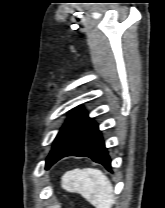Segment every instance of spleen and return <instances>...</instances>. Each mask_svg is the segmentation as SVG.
Returning <instances> with one entry per match:
<instances>
[{
    "instance_id": "spleen-1",
    "label": "spleen",
    "mask_w": 165,
    "mask_h": 208,
    "mask_svg": "<svg viewBox=\"0 0 165 208\" xmlns=\"http://www.w3.org/2000/svg\"><path fill=\"white\" fill-rule=\"evenodd\" d=\"M61 186L71 193H79L96 208H111L114 204L113 186L98 169L84 168L66 172Z\"/></svg>"
}]
</instances>
